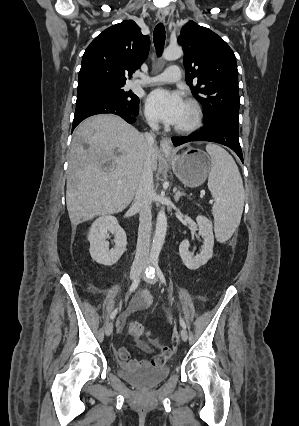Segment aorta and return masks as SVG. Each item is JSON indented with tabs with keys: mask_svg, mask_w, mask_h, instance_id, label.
I'll use <instances>...</instances> for the list:
<instances>
[{
	"mask_svg": "<svg viewBox=\"0 0 299 426\" xmlns=\"http://www.w3.org/2000/svg\"><path fill=\"white\" fill-rule=\"evenodd\" d=\"M183 54L180 46H168L163 52V58L168 61L179 59ZM167 231V217L164 210H160L156 220V230L150 252V260L157 262Z\"/></svg>",
	"mask_w": 299,
	"mask_h": 426,
	"instance_id": "762f6f07",
	"label": "aorta"
}]
</instances>
